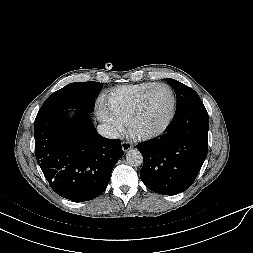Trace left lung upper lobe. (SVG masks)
Instances as JSON below:
<instances>
[{
  "instance_id": "obj_1",
  "label": "left lung upper lobe",
  "mask_w": 253,
  "mask_h": 253,
  "mask_svg": "<svg viewBox=\"0 0 253 253\" xmlns=\"http://www.w3.org/2000/svg\"><path fill=\"white\" fill-rule=\"evenodd\" d=\"M173 88L177 96V109L182 110L194 104L202 103L198 94L190 87L174 80L165 79Z\"/></svg>"
}]
</instances>
